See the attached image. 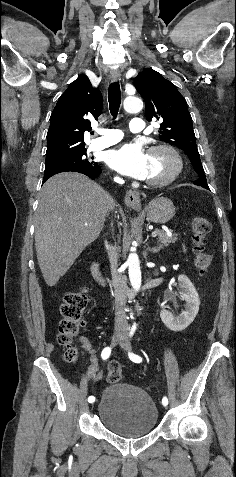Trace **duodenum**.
<instances>
[{
    "instance_id": "obj_1",
    "label": "duodenum",
    "mask_w": 236,
    "mask_h": 477,
    "mask_svg": "<svg viewBox=\"0 0 236 477\" xmlns=\"http://www.w3.org/2000/svg\"><path fill=\"white\" fill-rule=\"evenodd\" d=\"M91 272L94 278L101 284V285H106L107 281L106 278L103 274V271L100 267V265L97 262H93L91 264Z\"/></svg>"
}]
</instances>
